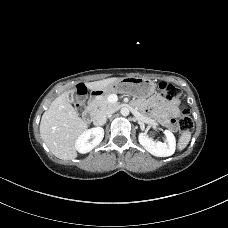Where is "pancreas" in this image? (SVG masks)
Here are the masks:
<instances>
[{
    "mask_svg": "<svg viewBox=\"0 0 228 228\" xmlns=\"http://www.w3.org/2000/svg\"><path fill=\"white\" fill-rule=\"evenodd\" d=\"M111 94L103 95L98 97L93 101V108L96 112H104V111H111L117 109L119 103H112L109 101Z\"/></svg>",
    "mask_w": 228,
    "mask_h": 228,
    "instance_id": "cf45deb5",
    "label": "pancreas"
}]
</instances>
